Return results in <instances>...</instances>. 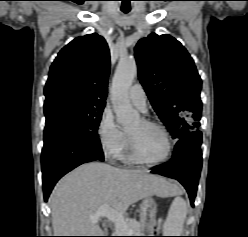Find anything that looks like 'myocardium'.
Returning <instances> with one entry per match:
<instances>
[{
    "label": "myocardium",
    "mask_w": 248,
    "mask_h": 237,
    "mask_svg": "<svg viewBox=\"0 0 248 237\" xmlns=\"http://www.w3.org/2000/svg\"><path fill=\"white\" fill-rule=\"evenodd\" d=\"M140 120L144 125L154 127L156 129H158L163 134V136L165 137L166 142H167V151H166L165 155L163 157H161L160 159H156V160L147 159L141 155V153L138 151L133 139L127 133V142H128L129 152H130L132 158L136 162L146 164V165H158V164H162V163L166 162L170 158V156L172 155L173 148H174L173 141H172V138H171L169 132L162 124H160L156 121H153V120H150L147 118H141Z\"/></svg>",
    "instance_id": "obj_1"
}]
</instances>
